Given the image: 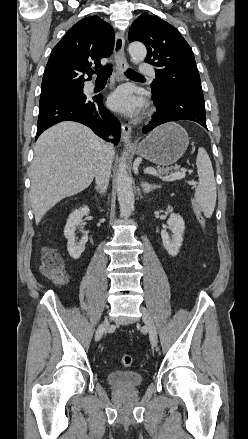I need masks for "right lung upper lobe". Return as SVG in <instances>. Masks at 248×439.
I'll list each match as a JSON object with an SVG mask.
<instances>
[{"instance_id": "1", "label": "right lung upper lobe", "mask_w": 248, "mask_h": 439, "mask_svg": "<svg viewBox=\"0 0 248 439\" xmlns=\"http://www.w3.org/2000/svg\"><path fill=\"white\" fill-rule=\"evenodd\" d=\"M113 28L98 16L86 17L72 26L53 48L46 65L41 96L63 93L84 87V73L90 66L102 67L100 60L113 52Z\"/></svg>"}]
</instances>
